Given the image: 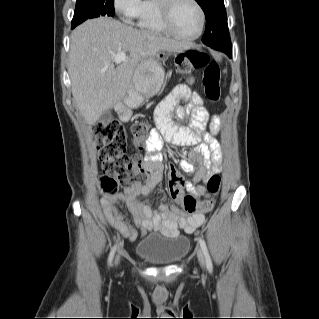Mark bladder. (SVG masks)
Instances as JSON below:
<instances>
[{"label": "bladder", "mask_w": 319, "mask_h": 319, "mask_svg": "<svg viewBox=\"0 0 319 319\" xmlns=\"http://www.w3.org/2000/svg\"><path fill=\"white\" fill-rule=\"evenodd\" d=\"M190 247L185 235H147L136 247L135 253L151 266L172 265L180 261Z\"/></svg>", "instance_id": "obj_1"}]
</instances>
